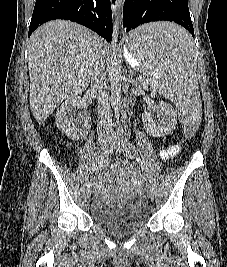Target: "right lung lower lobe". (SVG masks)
Returning <instances> with one entry per match:
<instances>
[{
  "label": "right lung lower lobe",
  "instance_id": "obj_1",
  "mask_svg": "<svg viewBox=\"0 0 227 267\" xmlns=\"http://www.w3.org/2000/svg\"><path fill=\"white\" fill-rule=\"evenodd\" d=\"M54 19L77 22L111 40L110 0H36L28 36L39 25Z\"/></svg>",
  "mask_w": 227,
  "mask_h": 267
}]
</instances>
